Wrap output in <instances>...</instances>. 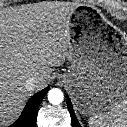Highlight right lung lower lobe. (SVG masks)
I'll list each match as a JSON object with an SVG mask.
<instances>
[{
    "label": "right lung lower lobe",
    "instance_id": "obj_1",
    "mask_svg": "<svg viewBox=\"0 0 127 127\" xmlns=\"http://www.w3.org/2000/svg\"><path fill=\"white\" fill-rule=\"evenodd\" d=\"M49 87L30 98L19 119L9 127H35L39 105Z\"/></svg>",
    "mask_w": 127,
    "mask_h": 127
}]
</instances>
